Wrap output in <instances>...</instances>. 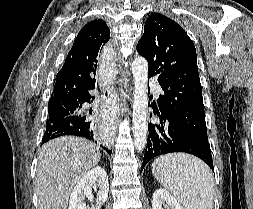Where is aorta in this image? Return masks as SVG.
Returning <instances> with one entry per match:
<instances>
[{
	"mask_svg": "<svg viewBox=\"0 0 253 209\" xmlns=\"http://www.w3.org/2000/svg\"><path fill=\"white\" fill-rule=\"evenodd\" d=\"M134 78L133 99V138L138 153L143 152L147 142V80L148 62L143 57H136L132 63Z\"/></svg>",
	"mask_w": 253,
	"mask_h": 209,
	"instance_id": "aorta-1",
	"label": "aorta"
}]
</instances>
